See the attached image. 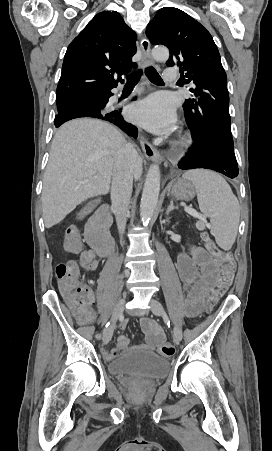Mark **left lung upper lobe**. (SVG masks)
Segmentation results:
<instances>
[{"mask_svg":"<svg viewBox=\"0 0 272 451\" xmlns=\"http://www.w3.org/2000/svg\"><path fill=\"white\" fill-rule=\"evenodd\" d=\"M146 35L151 44L167 46V66L179 67L187 83L195 84L190 89L195 98L183 105L192 138L218 137L233 146L227 76L211 34L182 10L164 7L148 24Z\"/></svg>","mask_w":272,"mask_h":451,"instance_id":"obj_1","label":"left lung upper lobe"}]
</instances>
